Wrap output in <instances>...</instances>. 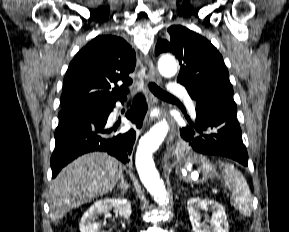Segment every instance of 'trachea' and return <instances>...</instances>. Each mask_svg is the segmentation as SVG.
Here are the masks:
<instances>
[{"label":"trachea","mask_w":289,"mask_h":232,"mask_svg":"<svg viewBox=\"0 0 289 232\" xmlns=\"http://www.w3.org/2000/svg\"><path fill=\"white\" fill-rule=\"evenodd\" d=\"M149 89L151 92L159 98H175L173 95L165 92L160 87H158L155 83H149Z\"/></svg>","instance_id":"1"}]
</instances>
